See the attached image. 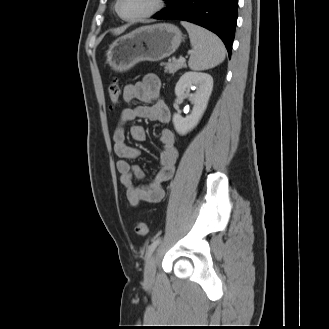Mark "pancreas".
<instances>
[{"label":"pancreas","mask_w":329,"mask_h":329,"mask_svg":"<svg viewBox=\"0 0 329 329\" xmlns=\"http://www.w3.org/2000/svg\"><path fill=\"white\" fill-rule=\"evenodd\" d=\"M185 62H179V60L173 58L168 63L165 64V71L170 74H174L176 71H178L181 68H184Z\"/></svg>","instance_id":"1"}]
</instances>
